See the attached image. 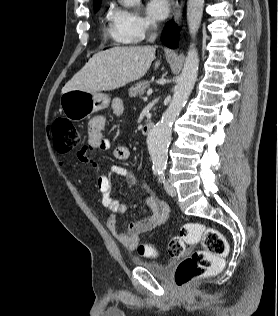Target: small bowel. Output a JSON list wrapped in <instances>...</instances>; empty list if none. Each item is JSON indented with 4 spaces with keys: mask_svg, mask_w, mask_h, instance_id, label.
Here are the masks:
<instances>
[{
    "mask_svg": "<svg viewBox=\"0 0 278 316\" xmlns=\"http://www.w3.org/2000/svg\"><path fill=\"white\" fill-rule=\"evenodd\" d=\"M112 110L117 117H121L124 112L123 102L116 98L112 101ZM106 117L97 115L88 123L87 144L77 153L80 161L91 167L95 171L96 183L101 193L102 205L109 211L110 215L106 220L107 229L116 237L121 245L129 251L138 248L139 236L142 233L152 231L163 226L169 215L167 204L160 200L151 190H147L146 205L151 214L138 221H131L127 224L125 231H119L117 227L116 214H123L128 210L127 203L119 202L111 195V176H122L128 178L133 183H139L132 170L121 166L113 165L109 174L104 173L98 160L94 157V151H107L111 147L110 141L104 137L106 128ZM113 156L119 161H126L130 157V150L124 145H118L113 149Z\"/></svg>",
    "mask_w": 278,
    "mask_h": 316,
    "instance_id": "small-bowel-1",
    "label": "small bowel"
}]
</instances>
